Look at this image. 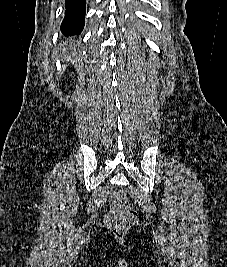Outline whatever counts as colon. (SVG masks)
Segmentation results:
<instances>
[{"label":"colon","mask_w":227,"mask_h":267,"mask_svg":"<svg viewBox=\"0 0 227 267\" xmlns=\"http://www.w3.org/2000/svg\"><path fill=\"white\" fill-rule=\"evenodd\" d=\"M110 202L111 207L105 217V224L111 232L121 235L138 223V213L127 205V196L124 191L115 190Z\"/></svg>","instance_id":"obj_1"}]
</instances>
